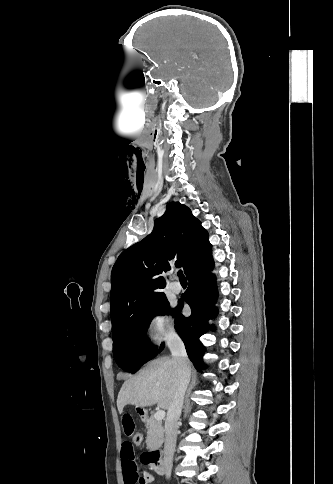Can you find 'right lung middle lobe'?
Here are the masks:
<instances>
[{"mask_svg": "<svg viewBox=\"0 0 333 484\" xmlns=\"http://www.w3.org/2000/svg\"><path fill=\"white\" fill-rule=\"evenodd\" d=\"M177 307L170 309L165 295L138 309L123 320L113 336V355L123 370L136 372L157 354V347L150 345L147 328L156 315L167 313L175 316Z\"/></svg>", "mask_w": 333, "mask_h": 484, "instance_id": "obj_1", "label": "right lung middle lobe"}]
</instances>
